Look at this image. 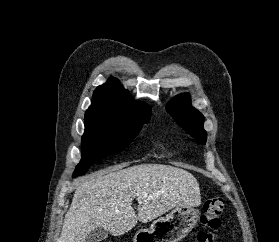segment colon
Here are the masks:
<instances>
[{
  "instance_id": "5ec220e1",
  "label": "colon",
  "mask_w": 279,
  "mask_h": 242,
  "mask_svg": "<svg viewBox=\"0 0 279 242\" xmlns=\"http://www.w3.org/2000/svg\"><path fill=\"white\" fill-rule=\"evenodd\" d=\"M224 206L225 200L220 195L212 196L205 201L204 211L200 216L204 229L197 233L194 242H215V232L221 227V216Z\"/></svg>"
}]
</instances>
